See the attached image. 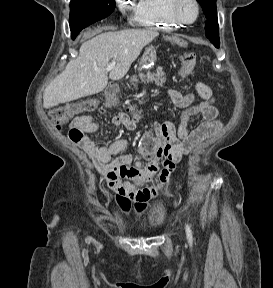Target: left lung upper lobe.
I'll use <instances>...</instances> for the list:
<instances>
[{"label":"left lung upper lobe","instance_id":"1","mask_svg":"<svg viewBox=\"0 0 273 288\" xmlns=\"http://www.w3.org/2000/svg\"><path fill=\"white\" fill-rule=\"evenodd\" d=\"M203 13L207 18L205 33L207 38L214 44H220L219 41V27L217 21L216 0H197Z\"/></svg>","mask_w":273,"mask_h":288}]
</instances>
